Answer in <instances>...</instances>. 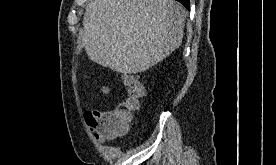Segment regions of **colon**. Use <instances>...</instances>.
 <instances>
[{"label":"colon","instance_id":"1","mask_svg":"<svg viewBox=\"0 0 276 165\" xmlns=\"http://www.w3.org/2000/svg\"><path fill=\"white\" fill-rule=\"evenodd\" d=\"M127 97L114 108L105 112L89 111L85 119L91 130L99 138H108L125 132L140 109L145 90L142 81L134 75L125 80ZM107 88L103 91L107 92Z\"/></svg>","mask_w":276,"mask_h":165}]
</instances>
